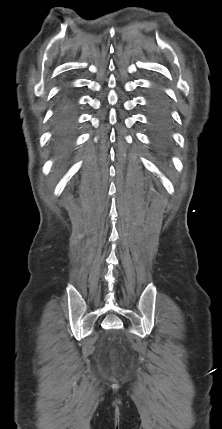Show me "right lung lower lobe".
Masks as SVG:
<instances>
[{
    "instance_id": "98d812e1",
    "label": "right lung lower lobe",
    "mask_w": 222,
    "mask_h": 429,
    "mask_svg": "<svg viewBox=\"0 0 222 429\" xmlns=\"http://www.w3.org/2000/svg\"><path fill=\"white\" fill-rule=\"evenodd\" d=\"M75 114V107L70 95L67 92L60 93L56 100L55 125L66 132L71 131L74 127Z\"/></svg>"
}]
</instances>
